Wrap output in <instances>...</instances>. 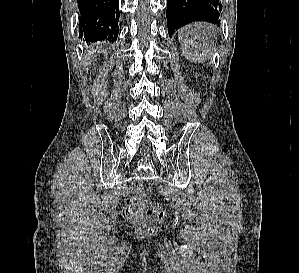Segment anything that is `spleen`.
<instances>
[{
  "instance_id": "spleen-1",
  "label": "spleen",
  "mask_w": 299,
  "mask_h": 273,
  "mask_svg": "<svg viewBox=\"0 0 299 273\" xmlns=\"http://www.w3.org/2000/svg\"><path fill=\"white\" fill-rule=\"evenodd\" d=\"M214 29L207 23H192L179 30L178 39L187 60L201 64L212 57L216 38Z\"/></svg>"
}]
</instances>
